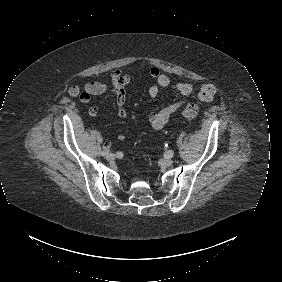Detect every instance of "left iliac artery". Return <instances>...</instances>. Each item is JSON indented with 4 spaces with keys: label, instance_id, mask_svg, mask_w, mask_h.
Returning <instances> with one entry per match:
<instances>
[{
    "label": "left iliac artery",
    "instance_id": "left-iliac-artery-1",
    "mask_svg": "<svg viewBox=\"0 0 282 282\" xmlns=\"http://www.w3.org/2000/svg\"><path fill=\"white\" fill-rule=\"evenodd\" d=\"M173 154H174L173 151H168V152L166 153V156H167V157H173Z\"/></svg>",
    "mask_w": 282,
    "mask_h": 282
}]
</instances>
